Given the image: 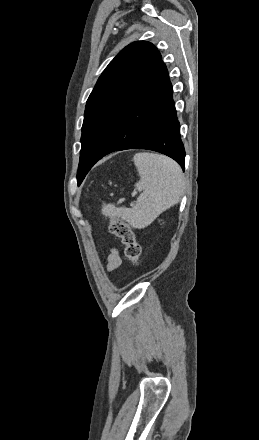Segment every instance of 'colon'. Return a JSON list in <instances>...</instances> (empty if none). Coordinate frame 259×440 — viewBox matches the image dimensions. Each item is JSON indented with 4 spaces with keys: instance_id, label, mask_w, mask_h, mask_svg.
<instances>
[{
    "instance_id": "colon-1",
    "label": "colon",
    "mask_w": 259,
    "mask_h": 440,
    "mask_svg": "<svg viewBox=\"0 0 259 440\" xmlns=\"http://www.w3.org/2000/svg\"><path fill=\"white\" fill-rule=\"evenodd\" d=\"M104 204L103 201H101ZM109 231L118 237L125 246L126 257L135 265L138 264L141 256V246L136 239L133 230L123 221L111 217L109 219Z\"/></svg>"
}]
</instances>
